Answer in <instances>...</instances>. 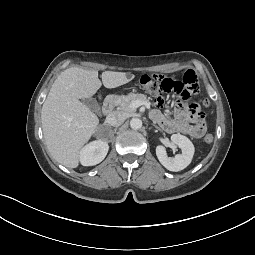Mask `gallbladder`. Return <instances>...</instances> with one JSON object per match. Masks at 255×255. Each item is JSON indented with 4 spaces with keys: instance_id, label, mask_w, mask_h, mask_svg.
Returning a JSON list of instances; mask_svg holds the SVG:
<instances>
[{
    "instance_id": "1",
    "label": "gallbladder",
    "mask_w": 255,
    "mask_h": 255,
    "mask_svg": "<svg viewBox=\"0 0 255 255\" xmlns=\"http://www.w3.org/2000/svg\"><path fill=\"white\" fill-rule=\"evenodd\" d=\"M83 104H85L91 111L100 114V105L98 102L93 98H87L81 100Z\"/></svg>"
}]
</instances>
